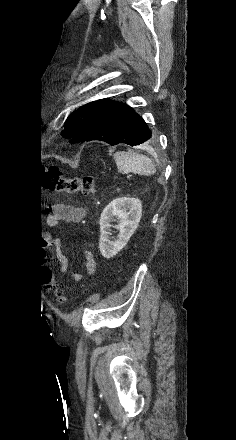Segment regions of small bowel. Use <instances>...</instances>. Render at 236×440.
<instances>
[{
    "mask_svg": "<svg viewBox=\"0 0 236 440\" xmlns=\"http://www.w3.org/2000/svg\"><path fill=\"white\" fill-rule=\"evenodd\" d=\"M85 209L82 207H76L66 204H57L54 207V211L50 216L48 223L51 226H59L62 222H66L71 225H75L82 221L85 216ZM55 246H59V241H54ZM85 256V269L83 272H73L72 278L75 282H80L85 278L92 276L96 270V261L91 252V245L89 243H85L84 249ZM60 271L62 274L67 273L68 271V260L67 258L60 254Z\"/></svg>",
    "mask_w": 236,
    "mask_h": 440,
    "instance_id": "small-bowel-1",
    "label": "small bowel"
}]
</instances>
